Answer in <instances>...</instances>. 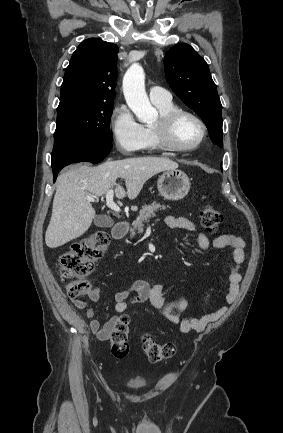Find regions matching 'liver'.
<instances>
[{
    "instance_id": "1",
    "label": "liver",
    "mask_w": 283,
    "mask_h": 433,
    "mask_svg": "<svg viewBox=\"0 0 283 433\" xmlns=\"http://www.w3.org/2000/svg\"><path fill=\"white\" fill-rule=\"evenodd\" d=\"M178 162L162 156H137L123 160H105L98 166L82 164L57 178L50 223L45 243L50 249L84 235L94 217L95 208L86 196H103L114 188L117 198H136L144 182L162 170H176ZM124 178L126 188L116 182Z\"/></svg>"
}]
</instances>
